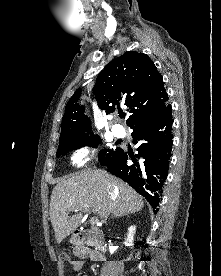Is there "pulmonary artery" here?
Listing matches in <instances>:
<instances>
[{
	"label": "pulmonary artery",
	"instance_id": "1",
	"mask_svg": "<svg viewBox=\"0 0 221 276\" xmlns=\"http://www.w3.org/2000/svg\"><path fill=\"white\" fill-rule=\"evenodd\" d=\"M112 132L116 137H122L124 136V128L120 125H114L112 127Z\"/></svg>",
	"mask_w": 221,
	"mask_h": 276
}]
</instances>
